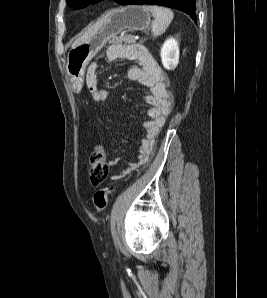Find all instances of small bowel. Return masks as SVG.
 <instances>
[{"mask_svg": "<svg viewBox=\"0 0 267 298\" xmlns=\"http://www.w3.org/2000/svg\"><path fill=\"white\" fill-rule=\"evenodd\" d=\"M106 58L108 62L118 60L137 61L139 66L129 69L127 76L130 80L139 82L150 90V93L146 96V101L149 104L148 119L142 124L145 137L139 147L138 160L128 163L124 169L119 171V174L115 175L116 178H122L138 165L148 161L156 136L171 111L173 99L167 89L168 79L166 75L144 46L140 44H113L107 49ZM85 82L95 102H102L108 98V91L100 87L97 63L89 65ZM119 162L120 159L115 158L111 159L109 164L114 167Z\"/></svg>", "mask_w": 267, "mask_h": 298, "instance_id": "c3829d8e", "label": "small bowel"}]
</instances>
